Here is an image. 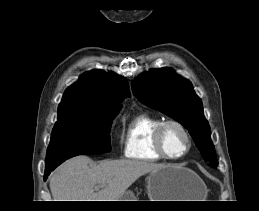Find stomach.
Segmentation results:
<instances>
[{"label": "stomach", "instance_id": "0dacf381", "mask_svg": "<svg viewBox=\"0 0 259 211\" xmlns=\"http://www.w3.org/2000/svg\"><path fill=\"white\" fill-rule=\"evenodd\" d=\"M147 193L150 201H197L205 193V184L192 170L164 165L147 176ZM127 190L118 201H135Z\"/></svg>", "mask_w": 259, "mask_h": 211}]
</instances>
